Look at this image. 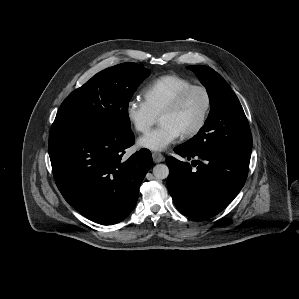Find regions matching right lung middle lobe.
Instances as JSON below:
<instances>
[{
  "instance_id": "right-lung-middle-lobe-1",
  "label": "right lung middle lobe",
  "mask_w": 299,
  "mask_h": 299,
  "mask_svg": "<svg viewBox=\"0 0 299 299\" xmlns=\"http://www.w3.org/2000/svg\"><path fill=\"white\" fill-rule=\"evenodd\" d=\"M149 74L136 63H122L97 73L63 101L51 131L130 129L128 103Z\"/></svg>"
}]
</instances>
